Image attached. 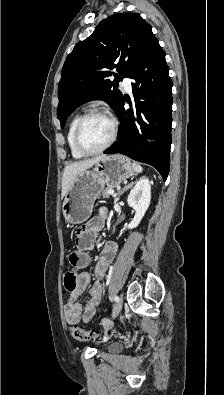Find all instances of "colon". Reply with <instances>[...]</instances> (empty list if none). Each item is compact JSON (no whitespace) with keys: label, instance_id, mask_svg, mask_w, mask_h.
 <instances>
[{"label":"colon","instance_id":"1","mask_svg":"<svg viewBox=\"0 0 224 395\" xmlns=\"http://www.w3.org/2000/svg\"><path fill=\"white\" fill-rule=\"evenodd\" d=\"M64 287L68 292L75 291L77 287L76 275L73 271H69L64 276ZM71 335L78 341H90L95 339H106L115 334L110 330H86L77 325H72L70 328Z\"/></svg>","mask_w":224,"mask_h":395}]
</instances>
